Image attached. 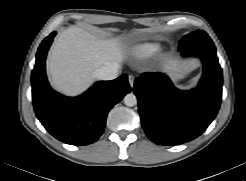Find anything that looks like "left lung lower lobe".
Returning a JSON list of instances; mask_svg holds the SVG:
<instances>
[{
	"instance_id": "1",
	"label": "left lung lower lobe",
	"mask_w": 246,
	"mask_h": 181,
	"mask_svg": "<svg viewBox=\"0 0 246 181\" xmlns=\"http://www.w3.org/2000/svg\"><path fill=\"white\" fill-rule=\"evenodd\" d=\"M178 50L184 56L199 57L204 64L195 89L181 91L163 73L142 74L134 83L144 131L159 145H178L197 138L214 120L221 104L223 76L212 40Z\"/></svg>"
}]
</instances>
